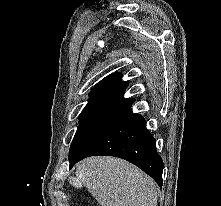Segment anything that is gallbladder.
Returning a JSON list of instances; mask_svg holds the SVG:
<instances>
[{
    "label": "gallbladder",
    "mask_w": 221,
    "mask_h": 206,
    "mask_svg": "<svg viewBox=\"0 0 221 206\" xmlns=\"http://www.w3.org/2000/svg\"><path fill=\"white\" fill-rule=\"evenodd\" d=\"M75 190H84V185H80V182L79 181H76L75 182Z\"/></svg>",
    "instance_id": "1"
}]
</instances>
